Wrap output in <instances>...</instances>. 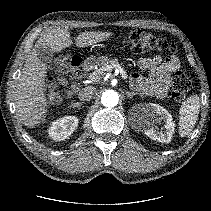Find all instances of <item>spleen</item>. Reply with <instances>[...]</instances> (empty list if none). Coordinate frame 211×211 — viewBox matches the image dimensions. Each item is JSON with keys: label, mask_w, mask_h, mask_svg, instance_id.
Masks as SVG:
<instances>
[{"label": "spleen", "mask_w": 211, "mask_h": 211, "mask_svg": "<svg viewBox=\"0 0 211 211\" xmlns=\"http://www.w3.org/2000/svg\"><path fill=\"white\" fill-rule=\"evenodd\" d=\"M200 109V99L198 95H191L181 105L179 110V133L183 137L188 135L194 128Z\"/></svg>", "instance_id": "spleen-1"}]
</instances>
